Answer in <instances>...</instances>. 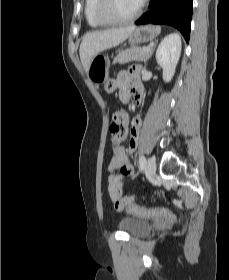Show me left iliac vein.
<instances>
[{
  "instance_id": "4c4485c4",
  "label": "left iliac vein",
  "mask_w": 229,
  "mask_h": 280,
  "mask_svg": "<svg viewBox=\"0 0 229 280\" xmlns=\"http://www.w3.org/2000/svg\"><path fill=\"white\" fill-rule=\"evenodd\" d=\"M156 171V161L154 157H149L147 160V173L153 176Z\"/></svg>"
}]
</instances>
